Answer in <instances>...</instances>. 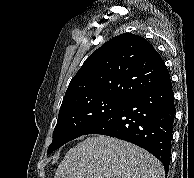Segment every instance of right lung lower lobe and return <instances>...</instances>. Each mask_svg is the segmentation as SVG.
Masks as SVG:
<instances>
[{
  "instance_id": "right-lung-lower-lobe-1",
  "label": "right lung lower lobe",
  "mask_w": 194,
  "mask_h": 178,
  "mask_svg": "<svg viewBox=\"0 0 194 178\" xmlns=\"http://www.w3.org/2000/svg\"><path fill=\"white\" fill-rule=\"evenodd\" d=\"M175 114L170 80L131 97L83 135L102 134L134 143L157 157L167 173Z\"/></svg>"
}]
</instances>
